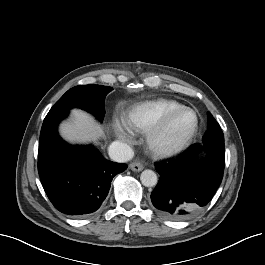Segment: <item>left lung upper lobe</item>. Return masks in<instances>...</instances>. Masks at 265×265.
I'll use <instances>...</instances> for the list:
<instances>
[{
  "instance_id": "left-lung-upper-lobe-1",
  "label": "left lung upper lobe",
  "mask_w": 265,
  "mask_h": 265,
  "mask_svg": "<svg viewBox=\"0 0 265 265\" xmlns=\"http://www.w3.org/2000/svg\"><path fill=\"white\" fill-rule=\"evenodd\" d=\"M217 140L224 142V135L220 128V125L216 122L213 116L209 113L208 114V129L203 138V142Z\"/></svg>"
}]
</instances>
